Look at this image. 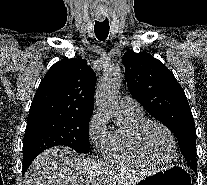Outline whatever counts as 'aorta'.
<instances>
[{
  "label": "aorta",
  "mask_w": 207,
  "mask_h": 185,
  "mask_svg": "<svg viewBox=\"0 0 207 185\" xmlns=\"http://www.w3.org/2000/svg\"><path fill=\"white\" fill-rule=\"evenodd\" d=\"M121 72L118 65L108 64L105 66L95 95L98 110L114 116L116 124L121 123V113L117 106Z\"/></svg>",
  "instance_id": "obj_1"
}]
</instances>
